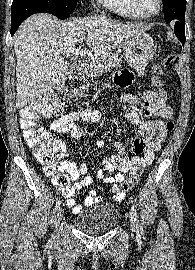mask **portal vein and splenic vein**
Instances as JSON below:
<instances>
[{"label": "portal vein and splenic vein", "instance_id": "portal-vein-and-splenic-vein-1", "mask_svg": "<svg viewBox=\"0 0 195 270\" xmlns=\"http://www.w3.org/2000/svg\"><path fill=\"white\" fill-rule=\"evenodd\" d=\"M67 56H81V57H86L88 54V51L84 49H70L64 51Z\"/></svg>", "mask_w": 195, "mask_h": 270}]
</instances>
